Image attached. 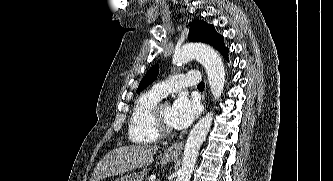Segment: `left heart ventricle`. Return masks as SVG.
Returning a JSON list of instances; mask_svg holds the SVG:
<instances>
[{
  "instance_id": "left-heart-ventricle-1",
  "label": "left heart ventricle",
  "mask_w": 333,
  "mask_h": 181,
  "mask_svg": "<svg viewBox=\"0 0 333 181\" xmlns=\"http://www.w3.org/2000/svg\"><path fill=\"white\" fill-rule=\"evenodd\" d=\"M170 112L171 106L169 104L164 105L161 111V119L168 126H170Z\"/></svg>"
}]
</instances>
